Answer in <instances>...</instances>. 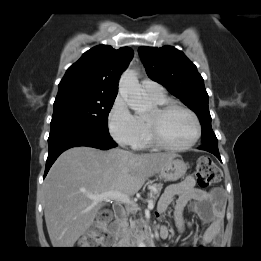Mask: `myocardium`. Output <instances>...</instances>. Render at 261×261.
Returning a JSON list of instances; mask_svg holds the SVG:
<instances>
[{
	"instance_id": "f54148a6",
	"label": "myocardium",
	"mask_w": 261,
	"mask_h": 261,
	"mask_svg": "<svg viewBox=\"0 0 261 261\" xmlns=\"http://www.w3.org/2000/svg\"><path fill=\"white\" fill-rule=\"evenodd\" d=\"M174 109H180V110L185 111L187 114H189L191 116V118L193 119L194 124H195V134H194L193 138L184 145L177 146V145H172V144L165 142L160 135L158 124L155 121L150 120L148 118H146L145 121H146V126H147V131H148V136H149L150 142L154 146H156L160 149H163V150H167V151L180 152V151H185V150L190 149L198 142V140L201 136L202 128H201V123H200V120H199L197 114L192 109H190L189 107H187L181 103L170 101V102H165L164 104H161V105H157L154 108L155 114L158 118L163 117L164 115H166L167 113H169L170 111H172Z\"/></svg>"
}]
</instances>
